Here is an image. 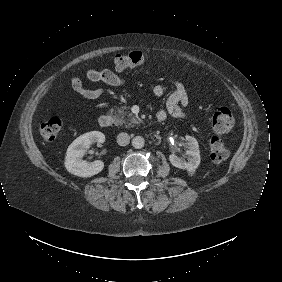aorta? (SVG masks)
Segmentation results:
<instances>
[{
	"mask_svg": "<svg viewBox=\"0 0 282 282\" xmlns=\"http://www.w3.org/2000/svg\"><path fill=\"white\" fill-rule=\"evenodd\" d=\"M144 145H145V139L142 136H135L132 139V146L135 149H141L144 147Z\"/></svg>",
	"mask_w": 282,
	"mask_h": 282,
	"instance_id": "aorta-1",
	"label": "aorta"
}]
</instances>
